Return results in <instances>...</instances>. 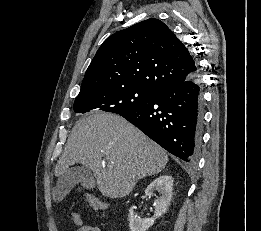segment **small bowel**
<instances>
[{"mask_svg":"<svg viewBox=\"0 0 261 231\" xmlns=\"http://www.w3.org/2000/svg\"><path fill=\"white\" fill-rule=\"evenodd\" d=\"M73 219L76 225L80 226L79 231H101L99 227L90 226V225H83L82 219L78 214H73Z\"/></svg>","mask_w":261,"mask_h":231,"instance_id":"c3829d8e","label":"small bowel"}]
</instances>
